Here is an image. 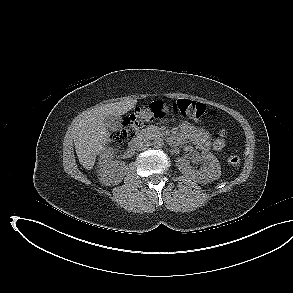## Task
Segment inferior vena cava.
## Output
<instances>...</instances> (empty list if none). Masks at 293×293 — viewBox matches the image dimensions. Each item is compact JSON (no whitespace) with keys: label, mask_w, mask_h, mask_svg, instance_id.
I'll return each mask as SVG.
<instances>
[{"label":"inferior vena cava","mask_w":293,"mask_h":293,"mask_svg":"<svg viewBox=\"0 0 293 293\" xmlns=\"http://www.w3.org/2000/svg\"><path fill=\"white\" fill-rule=\"evenodd\" d=\"M150 145H151V143L149 140L139 139L133 144V147L136 150H143V149H146L147 147H149Z\"/></svg>","instance_id":"inferior-vena-cava-1"}]
</instances>
